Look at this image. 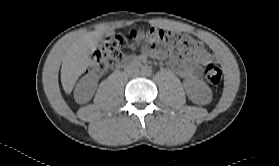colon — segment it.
Listing matches in <instances>:
<instances>
[{
  "label": "colon",
  "mask_w": 279,
  "mask_h": 166,
  "mask_svg": "<svg viewBox=\"0 0 279 166\" xmlns=\"http://www.w3.org/2000/svg\"><path fill=\"white\" fill-rule=\"evenodd\" d=\"M124 39L137 44H145L155 54L167 52L173 57H184L203 51V45L188 34L157 28L133 29L123 37L105 38L93 54L91 70L104 74L115 67L123 55ZM204 76L209 83L216 85L222 79V69L216 63H208L204 67Z\"/></svg>",
  "instance_id": "colon-1"
}]
</instances>
